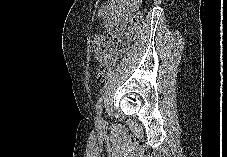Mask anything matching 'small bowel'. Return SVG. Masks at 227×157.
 <instances>
[{
  "label": "small bowel",
  "mask_w": 227,
  "mask_h": 157,
  "mask_svg": "<svg viewBox=\"0 0 227 157\" xmlns=\"http://www.w3.org/2000/svg\"><path fill=\"white\" fill-rule=\"evenodd\" d=\"M142 0H110L98 9V16L105 26L114 28L112 39L122 37L131 22L132 15L138 9Z\"/></svg>",
  "instance_id": "obj_1"
}]
</instances>
